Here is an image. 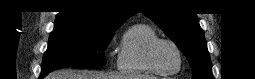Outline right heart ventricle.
<instances>
[{
    "label": "right heart ventricle",
    "instance_id": "obj_1",
    "mask_svg": "<svg viewBox=\"0 0 255 79\" xmlns=\"http://www.w3.org/2000/svg\"><path fill=\"white\" fill-rule=\"evenodd\" d=\"M157 38L156 31L147 24H135L129 27L119 51V70L127 74L155 75L156 73L147 63L146 50Z\"/></svg>",
    "mask_w": 255,
    "mask_h": 79
}]
</instances>
